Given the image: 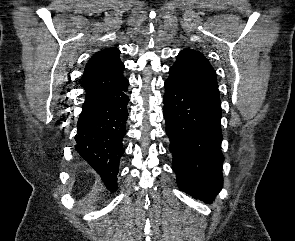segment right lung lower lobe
I'll use <instances>...</instances> for the list:
<instances>
[{
  "instance_id": "1",
  "label": "right lung lower lobe",
  "mask_w": 295,
  "mask_h": 241,
  "mask_svg": "<svg viewBox=\"0 0 295 241\" xmlns=\"http://www.w3.org/2000/svg\"><path fill=\"white\" fill-rule=\"evenodd\" d=\"M128 85L125 80L118 86L86 94L75 136L76 151L112 192L117 190L116 175L124 153Z\"/></svg>"
}]
</instances>
